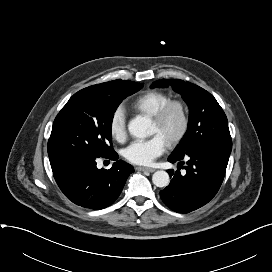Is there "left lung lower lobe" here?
<instances>
[{"instance_id": "obj_1", "label": "left lung lower lobe", "mask_w": 272, "mask_h": 272, "mask_svg": "<svg viewBox=\"0 0 272 272\" xmlns=\"http://www.w3.org/2000/svg\"><path fill=\"white\" fill-rule=\"evenodd\" d=\"M232 150L231 142H214L197 147L183 155L170 156L169 162H178L180 171L168 170L172 180L160 192L162 201L178 213H188L207 204L218 192ZM184 160H187L186 166Z\"/></svg>"}]
</instances>
